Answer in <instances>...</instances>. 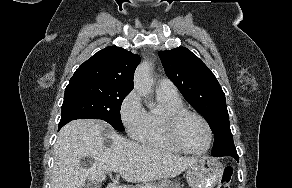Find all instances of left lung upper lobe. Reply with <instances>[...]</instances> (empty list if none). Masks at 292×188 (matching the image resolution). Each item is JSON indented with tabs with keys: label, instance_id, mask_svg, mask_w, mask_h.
Segmentation results:
<instances>
[{
	"label": "left lung upper lobe",
	"instance_id": "1",
	"mask_svg": "<svg viewBox=\"0 0 292 188\" xmlns=\"http://www.w3.org/2000/svg\"><path fill=\"white\" fill-rule=\"evenodd\" d=\"M159 56L168 78L209 123L214 134L211 154L236 151L225 94L212 71L185 47L160 51Z\"/></svg>",
	"mask_w": 292,
	"mask_h": 188
}]
</instances>
